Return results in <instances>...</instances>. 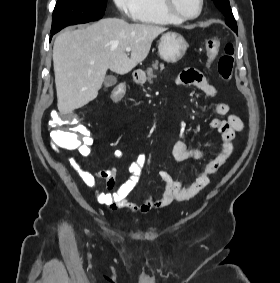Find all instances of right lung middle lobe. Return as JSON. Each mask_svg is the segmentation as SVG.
Wrapping results in <instances>:
<instances>
[{
    "label": "right lung middle lobe",
    "mask_w": 280,
    "mask_h": 283,
    "mask_svg": "<svg viewBox=\"0 0 280 283\" xmlns=\"http://www.w3.org/2000/svg\"><path fill=\"white\" fill-rule=\"evenodd\" d=\"M107 0H57L51 33L74 24L97 21L104 15Z\"/></svg>",
    "instance_id": "obj_1"
}]
</instances>
